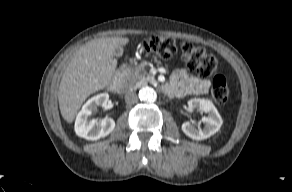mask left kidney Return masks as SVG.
I'll return each instance as SVG.
<instances>
[{
    "instance_id": "obj_1",
    "label": "left kidney",
    "mask_w": 292,
    "mask_h": 192,
    "mask_svg": "<svg viewBox=\"0 0 292 192\" xmlns=\"http://www.w3.org/2000/svg\"><path fill=\"white\" fill-rule=\"evenodd\" d=\"M190 109H197L208 113L207 117H203L204 128H195L191 123L182 124V131L191 139L204 140L219 131L222 125V118L214 106L213 102L208 99L194 98L188 101Z\"/></svg>"
}]
</instances>
